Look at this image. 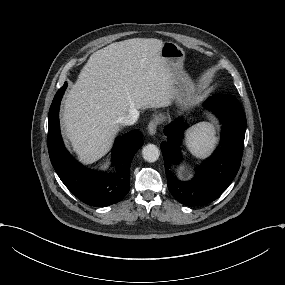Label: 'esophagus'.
Returning <instances> with one entry per match:
<instances>
[{"instance_id": "esophagus-1", "label": "esophagus", "mask_w": 285, "mask_h": 285, "mask_svg": "<svg viewBox=\"0 0 285 285\" xmlns=\"http://www.w3.org/2000/svg\"><path fill=\"white\" fill-rule=\"evenodd\" d=\"M157 124H158V121L155 119L149 122V124H148L149 135H151V136L155 135L156 130H157Z\"/></svg>"}]
</instances>
